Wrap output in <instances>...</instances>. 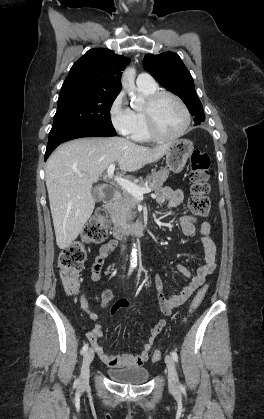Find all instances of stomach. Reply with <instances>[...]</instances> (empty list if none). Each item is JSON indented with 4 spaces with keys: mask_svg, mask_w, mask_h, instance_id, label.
I'll return each mask as SVG.
<instances>
[{
    "mask_svg": "<svg viewBox=\"0 0 264 419\" xmlns=\"http://www.w3.org/2000/svg\"><path fill=\"white\" fill-rule=\"evenodd\" d=\"M193 143L188 139H179L169 144L166 151V164L169 170L179 173L193 151Z\"/></svg>",
    "mask_w": 264,
    "mask_h": 419,
    "instance_id": "1",
    "label": "stomach"
}]
</instances>
